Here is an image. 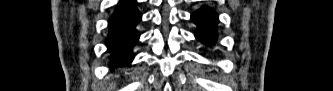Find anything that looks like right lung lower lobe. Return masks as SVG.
<instances>
[{
	"label": "right lung lower lobe",
	"instance_id": "right-lung-lower-lobe-1",
	"mask_svg": "<svg viewBox=\"0 0 333 91\" xmlns=\"http://www.w3.org/2000/svg\"><path fill=\"white\" fill-rule=\"evenodd\" d=\"M135 0H121L108 21L109 34L106 40L111 54V66H128L133 60L131 50L139 39L135 27L141 20Z\"/></svg>",
	"mask_w": 333,
	"mask_h": 91
}]
</instances>
